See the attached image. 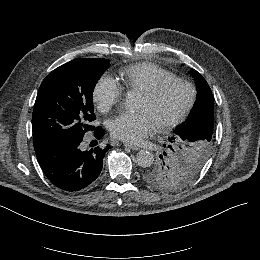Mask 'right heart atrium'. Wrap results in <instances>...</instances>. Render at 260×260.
<instances>
[{
  "label": "right heart atrium",
  "mask_w": 260,
  "mask_h": 260,
  "mask_svg": "<svg viewBox=\"0 0 260 260\" xmlns=\"http://www.w3.org/2000/svg\"><path fill=\"white\" fill-rule=\"evenodd\" d=\"M92 97L99 110L108 113L122 103L124 89L116 79L105 74L94 85Z\"/></svg>",
  "instance_id": "1"
}]
</instances>
